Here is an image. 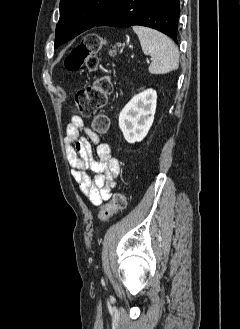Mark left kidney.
Wrapping results in <instances>:
<instances>
[{
    "mask_svg": "<svg viewBox=\"0 0 240 329\" xmlns=\"http://www.w3.org/2000/svg\"><path fill=\"white\" fill-rule=\"evenodd\" d=\"M157 93L147 89L134 96L119 115V127L128 143L142 141L152 123L156 111Z\"/></svg>",
    "mask_w": 240,
    "mask_h": 329,
    "instance_id": "5707ae66",
    "label": "left kidney"
}]
</instances>
